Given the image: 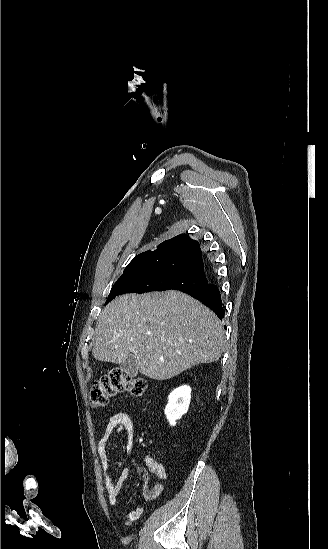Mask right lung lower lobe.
<instances>
[{
    "label": "right lung lower lobe",
    "instance_id": "1",
    "mask_svg": "<svg viewBox=\"0 0 328 549\" xmlns=\"http://www.w3.org/2000/svg\"><path fill=\"white\" fill-rule=\"evenodd\" d=\"M183 292L200 300L204 305L209 307L219 319H223L225 313L224 307L221 301L220 291L215 284L207 283L200 287L184 290Z\"/></svg>",
    "mask_w": 328,
    "mask_h": 549
}]
</instances>
